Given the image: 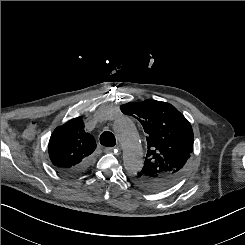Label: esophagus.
<instances>
[{"mask_svg": "<svg viewBox=\"0 0 245 245\" xmlns=\"http://www.w3.org/2000/svg\"><path fill=\"white\" fill-rule=\"evenodd\" d=\"M114 150H115V149H114L113 147H106V148L104 149V152H105V153H112Z\"/></svg>", "mask_w": 245, "mask_h": 245, "instance_id": "1", "label": "esophagus"}]
</instances>
